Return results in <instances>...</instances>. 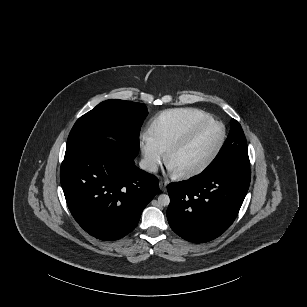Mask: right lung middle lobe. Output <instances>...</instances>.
<instances>
[{"label": "right lung middle lobe", "instance_id": "dd1d6c3e", "mask_svg": "<svg viewBox=\"0 0 307 307\" xmlns=\"http://www.w3.org/2000/svg\"><path fill=\"white\" fill-rule=\"evenodd\" d=\"M147 114V107L142 103L117 99L103 101L76 121L66 148L91 137L112 135L117 139L115 142L136 157L140 127Z\"/></svg>", "mask_w": 307, "mask_h": 307}]
</instances>
